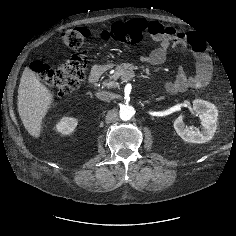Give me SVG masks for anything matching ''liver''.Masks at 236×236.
I'll return each instance as SVG.
<instances>
[{"label": "liver", "mask_w": 236, "mask_h": 236, "mask_svg": "<svg viewBox=\"0 0 236 236\" xmlns=\"http://www.w3.org/2000/svg\"><path fill=\"white\" fill-rule=\"evenodd\" d=\"M54 94L41 82L29 68L23 71L18 89V112L27 132L39 138L42 120L54 105Z\"/></svg>", "instance_id": "obj_1"}]
</instances>
